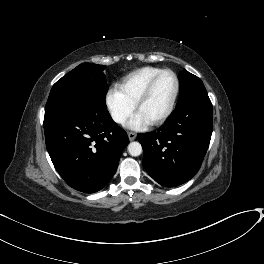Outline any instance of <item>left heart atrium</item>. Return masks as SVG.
<instances>
[{"instance_id":"1","label":"left heart atrium","mask_w":264,"mask_h":264,"mask_svg":"<svg viewBox=\"0 0 264 264\" xmlns=\"http://www.w3.org/2000/svg\"><path fill=\"white\" fill-rule=\"evenodd\" d=\"M147 124H149V121H147L140 113H137L129 121L128 126L132 129H140Z\"/></svg>"}]
</instances>
